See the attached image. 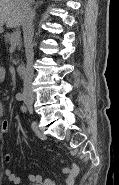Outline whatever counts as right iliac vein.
<instances>
[{"label": "right iliac vein", "instance_id": "1", "mask_svg": "<svg viewBox=\"0 0 119 185\" xmlns=\"http://www.w3.org/2000/svg\"><path fill=\"white\" fill-rule=\"evenodd\" d=\"M32 103H33L32 101H28V104H29V105H32Z\"/></svg>", "mask_w": 119, "mask_h": 185}]
</instances>
